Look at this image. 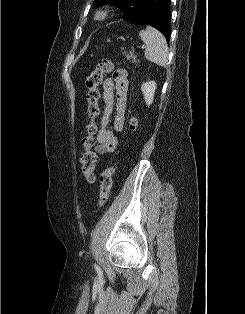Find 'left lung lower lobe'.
Segmentation results:
<instances>
[{
  "label": "left lung lower lobe",
  "instance_id": "0a47b994",
  "mask_svg": "<svg viewBox=\"0 0 245 314\" xmlns=\"http://www.w3.org/2000/svg\"><path fill=\"white\" fill-rule=\"evenodd\" d=\"M170 2V0H144L137 13L128 20L155 27L168 42L171 34Z\"/></svg>",
  "mask_w": 245,
  "mask_h": 314
}]
</instances>
